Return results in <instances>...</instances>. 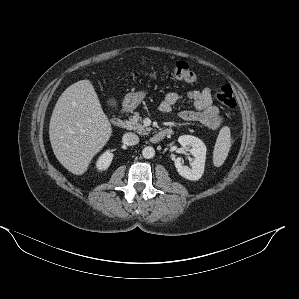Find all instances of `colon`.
<instances>
[{
  "label": "colon",
  "instance_id": "obj_1",
  "mask_svg": "<svg viewBox=\"0 0 299 299\" xmlns=\"http://www.w3.org/2000/svg\"><path fill=\"white\" fill-rule=\"evenodd\" d=\"M146 76L150 78L168 77L187 83H197L199 81L200 74L199 72L190 69L186 62L178 61L166 69L150 72L146 74ZM215 97L228 110H234L237 107V101L233 90L228 85H224L217 89Z\"/></svg>",
  "mask_w": 299,
  "mask_h": 299
}]
</instances>
